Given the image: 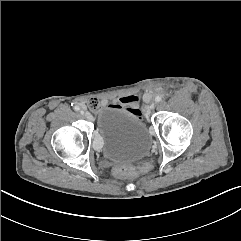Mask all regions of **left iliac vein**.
<instances>
[{
	"instance_id": "4c4485c4",
	"label": "left iliac vein",
	"mask_w": 241,
	"mask_h": 241,
	"mask_svg": "<svg viewBox=\"0 0 241 241\" xmlns=\"http://www.w3.org/2000/svg\"><path fill=\"white\" fill-rule=\"evenodd\" d=\"M156 104L154 102H152L148 107L147 109L148 110H153L155 108Z\"/></svg>"
}]
</instances>
